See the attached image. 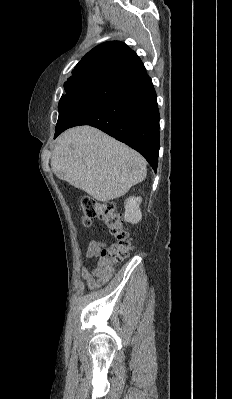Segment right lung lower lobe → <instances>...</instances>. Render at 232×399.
<instances>
[{"instance_id":"right-lung-lower-lobe-1","label":"right lung lower lobe","mask_w":232,"mask_h":399,"mask_svg":"<svg viewBox=\"0 0 232 399\" xmlns=\"http://www.w3.org/2000/svg\"><path fill=\"white\" fill-rule=\"evenodd\" d=\"M159 120L156 92L141 62L68 101L59 110L55 137L91 125L138 151L156 171Z\"/></svg>"}]
</instances>
